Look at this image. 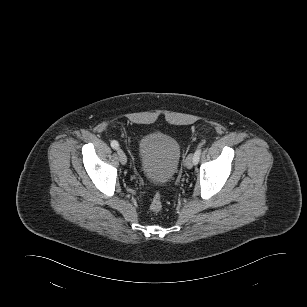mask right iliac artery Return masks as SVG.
I'll return each instance as SVG.
<instances>
[{
  "label": "right iliac artery",
  "instance_id": "right-iliac-artery-1",
  "mask_svg": "<svg viewBox=\"0 0 307 307\" xmlns=\"http://www.w3.org/2000/svg\"><path fill=\"white\" fill-rule=\"evenodd\" d=\"M111 147L113 149H118L119 148V144L116 140L111 141Z\"/></svg>",
  "mask_w": 307,
  "mask_h": 307
}]
</instances>
